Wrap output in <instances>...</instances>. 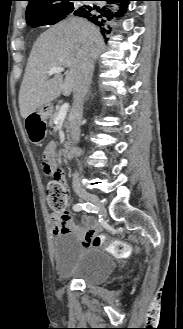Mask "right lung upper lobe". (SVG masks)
Masks as SVG:
<instances>
[{"mask_svg": "<svg viewBox=\"0 0 183 329\" xmlns=\"http://www.w3.org/2000/svg\"><path fill=\"white\" fill-rule=\"evenodd\" d=\"M26 20L28 23L42 21L50 18L56 6L69 0H28Z\"/></svg>", "mask_w": 183, "mask_h": 329, "instance_id": "obj_1", "label": "right lung upper lobe"}]
</instances>
